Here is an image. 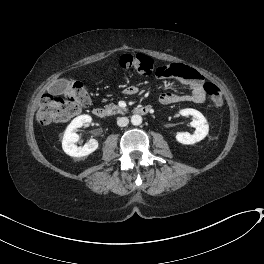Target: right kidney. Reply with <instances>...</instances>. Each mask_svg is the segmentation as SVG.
<instances>
[{
  "label": "right kidney",
  "mask_w": 264,
  "mask_h": 264,
  "mask_svg": "<svg viewBox=\"0 0 264 264\" xmlns=\"http://www.w3.org/2000/svg\"><path fill=\"white\" fill-rule=\"evenodd\" d=\"M91 121V116L80 115L74 118L67 126L62 140V148L67 155L72 157H84L91 154L98 148L99 144L95 139H90L83 146H77L75 144L79 140V135L76 133L77 129L83 124L90 123Z\"/></svg>",
  "instance_id": "obj_1"
}]
</instances>
